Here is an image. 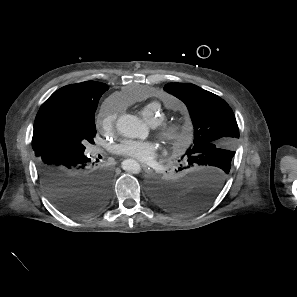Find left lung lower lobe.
Returning a JSON list of instances; mask_svg holds the SVG:
<instances>
[{
	"mask_svg": "<svg viewBox=\"0 0 297 297\" xmlns=\"http://www.w3.org/2000/svg\"><path fill=\"white\" fill-rule=\"evenodd\" d=\"M215 165V166H212ZM183 173L171 181H153L150 194L154 202L173 212L194 213L207 206L220 192L227 169L215 163L179 168Z\"/></svg>",
	"mask_w": 297,
	"mask_h": 297,
	"instance_id": "left-lung-lower-lobe-1",
	"label": "left lung lower lobe"
}]
</instances>
